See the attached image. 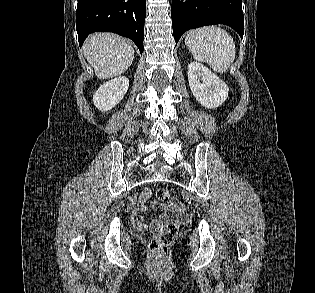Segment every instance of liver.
Here are the masks:
<instances>
[{"label": "liver", "instance_id": "6515ba94", "mask_svg": "<svg viewBox=\"0 0 315 293\" xmlns=\"http://www.w3.org/2000/svg\"><path fill=\"white\" fill-rule=\"evenodd\" d=\"M83 53L99 79L121 75L134 59V49L130 42L111 33L90 35L84 42Z\"/></svg>", "mask_w": 315, "mask_h": 293}]
</instances>
